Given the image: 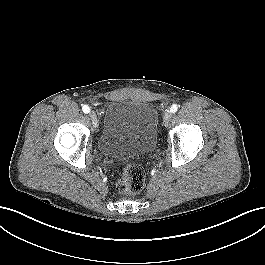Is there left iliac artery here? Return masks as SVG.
Instances as JSON below:
<instances>
[{"mask_svg": "<svg viewBox=\"0 0 265 265\" xmlns=\"http://www.w3.org/2000/svg\"><path fill=\"white\" fill-rule=\"evenodd\" d=\"M178 110V106L176 104H173L170 108L171 113H175Z\"/></svg>", "mask_w": 265, "mask_h": 265, "instance_id": "left-iliac-artery-1", "label": "left iliac artery"}]
</instances>
